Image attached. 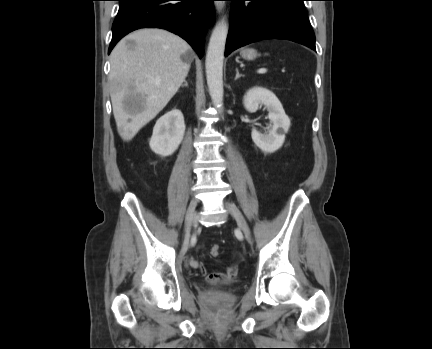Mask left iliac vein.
I'll return each instance as SVG.
<instances>
[{
	"label": "left iliac vein",
	"mask_w": 432,
	"mask_h": 349,
	"mask_svg": "<svg viewBox=\"0 0 432 349\" xmlns=\"http://www.w3.org/2000/svg\"><path fill=\"white\" fill-rule=\"evenodd\" d=\"M226 207L229 209L230 213L235 218L238 226L243 231L245 237L248 240H250L251 239V232H250L249 226H248L245 218L243 217L242 213L239 211V209L236 207V205L231 203V202H226Z\"/></svg>",
	"instance_id": "obj_1"
}]
</instances>
